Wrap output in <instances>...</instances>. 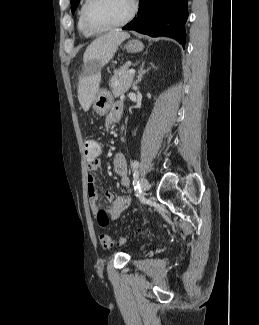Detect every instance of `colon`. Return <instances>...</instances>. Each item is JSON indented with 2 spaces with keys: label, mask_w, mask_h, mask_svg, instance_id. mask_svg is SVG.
I'll return each mask as SVG.
<instances>
[{
  "label": "colon",
  "mask_w": 259,
  "mask_h": 325,
  "mask_svg": "<svg viewBox=\"0 0 259 325\" xmlns=\"http://www.w3.org/2000/svg\"><path fill=\"white\" fill-rule=\"evenodd\" d=\"M84 150L86 157H95L98 153V143L94 139L88 138L84 140ZM96 218L102 225L108 222V214L104 209H98L96 212ZM100 245L105 249H110L115 246L114 239L106 233L99 235ZM125 239H121L120 243H124Z\"/></svg>",
  "instance_id": "colon-1"
}]
</instances>
